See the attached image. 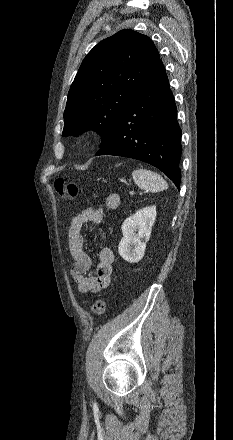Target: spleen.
I'll list each match as a JSON object with an SVG mask.
<instances>
[{"instance_id":"obj_1","label":"spleen","mask_w":233,"mask_h":440,"mask_svg":"<svg viewBox=\"0 0 233 440\" xmlns=\"http://www.w3.org/2000/svg\"><path fill=\"white\" fill-rule=\"evenodd\" d=\"M132 177L135 184L143 190L159 192L168 188V184L163 177L151 170L136 169L132 172Z\"/></svg>"}]
</instances>
